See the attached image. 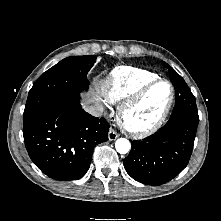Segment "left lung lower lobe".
I'll return each mask as SVG.
<instances>
[{"instance_id": "left-lung-lower-lobe-1", "label": "left lung lower lobe", "mask_w": 221, "mask_h": 221, "mask_svg": "<svg viewBox=\"0 0 221 221\" xmlns=\"http://www.w3.org/2000/svg\"><path fill=\"white\" fill-rule=\"evenodd\" d=\"M175 106L168 122L143 140H130L131 151L123 160L127 173L147 185H161L178 175L192 154L198 123L181 118L190 113L193 95L184 87L174 86Z\"/></svg>"}]
</instances>
